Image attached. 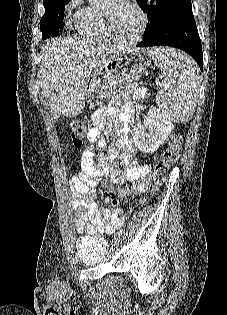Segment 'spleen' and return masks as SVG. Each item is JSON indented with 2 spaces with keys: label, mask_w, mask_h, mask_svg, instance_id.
Wrapping results in <instances>:
<instances>
[{
  "label": "spleen",
  "mask_w": 227,
  "mask_h": 315,
  "mask_svg": "<svg viewBox=\"0 0 227 315\" xmlns=\"http://www.w3.org/2000/svg\"><path fill=\"white\" fill-rule=\"evenodd\" d=\"M148 53L165 76L163 90L156 98L159 109L171 121L188 122L195 111L199 93L196 64L174 49L156 48Z\"/></svg>",
  "instance_id": "3e777b00"
}]
</instances>
